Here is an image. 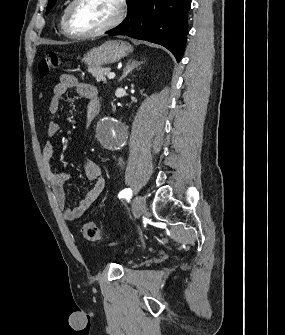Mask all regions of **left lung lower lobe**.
<instances>
[{
	"mask_svg": "<svg viewBox=\"0 0 285 335\" xmlns=\"http://www.w3.org/2000/svg\"><path fill=\"white\" fill-rule=\"evenodd\" d=\"M128 15L109 35H127L166 47L177 62L188 30L189 0H127Z\"/></svg>",
	"mask_w": 285,
	"mask_h": 335,
	"instance_id": "left-lung-lower-lobe-1",
	"label": "left lung lower lobe"
}]
</instances>
